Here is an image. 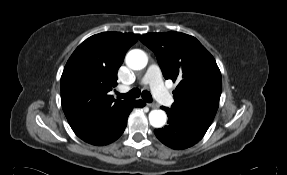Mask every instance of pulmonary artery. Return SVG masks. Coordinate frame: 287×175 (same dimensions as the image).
Segmentation results:
<instances>
[{
  "mask_svg": "<svg viewBox=\"0 0 287 175\" xmlns=\"http://www.w3.org/2000/svg\"><path fill=\"white\" fill-rule=\"evenodd\" d=\"M142 84L150 85L154 97L163 105H171L173 99L169 91L164 86L160 70L157 65H150L142 78ZM127 88L120 87V91L124 92Z\"/></svg>",
  "mask_w": 287,
  "mask_h": 175,
  "instance_id": "obj_1",
  "label": "pulmonary artery"
}]
</instances>
